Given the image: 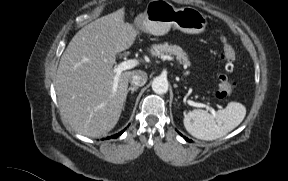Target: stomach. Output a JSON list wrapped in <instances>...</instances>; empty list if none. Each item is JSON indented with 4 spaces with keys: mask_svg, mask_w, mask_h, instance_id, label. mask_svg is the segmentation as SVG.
<instances>
[{
    "mask_svg": "<svg viewBox=\"0 0 288 181\" xmlns=\"http://www.w3.org/2000/svg\"><path fill=\"white\" fill-rule=\"evenodd\" d=\"M136 26L152 35H164L171 27L187 33L200 34L207 20L203 13L192 7L175 8L166 0H151L143 13L135 19Z\"/></svg>",
    "mask_w": 288,
    "mask_h": 181,
    "instance_id": "stomach-1",
    "label": "stomach"
}]
</instances>
